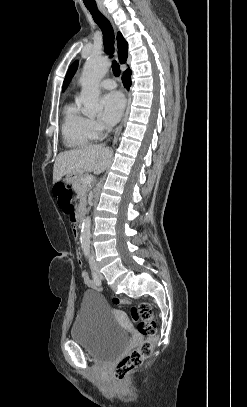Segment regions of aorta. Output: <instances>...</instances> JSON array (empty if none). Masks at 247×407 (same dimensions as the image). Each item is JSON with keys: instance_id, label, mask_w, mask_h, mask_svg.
<instances>
[{"instance_id": "obj_1", "label": "aorta", "mask_w": 247, "mask_h": 407, "mask_svg": "<svg viewBox=\"0 0 247 407\" xmlns=\"http://www.w3.org/2000/svg\"><path fill=\"white\" fill-rule=\"evenodd\" d=\"M110 67V62L105 57L91 56L83 67L80 78L81 93L79 102L83 105V113L87 116H94L102 111L99 103V83L106 75ZM90 228L91 219L86 217L81 226L80 242L84 254L90 251Z\"/></svg>"}]
</instances>
